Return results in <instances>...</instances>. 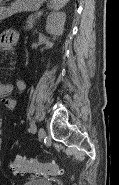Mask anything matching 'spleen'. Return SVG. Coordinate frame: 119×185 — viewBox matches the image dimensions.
<instances>
[{"instance_id":"obj_1","label":"spleen","mask_w":119,"mask_h":185,"mask_svg":"<svg viewBox=\"0 0 119 185\" xmlns=\"http://www.w3.org/2000/svg\"><path fill=\"white\" fill-rule=\"evenodd\" d=\"M69 0H51L50 7L53 10H59L66 5Z\"/></svg>"}]
</instances>
